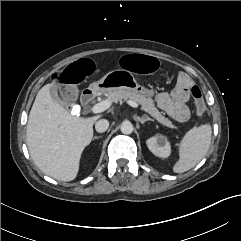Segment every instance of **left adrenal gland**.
<instances>
[{
	"label": "left adrenal gland",
	"instance_id": "left-adrenal-gland-1",
	"mask_svg": "<svg viewBox=\"0 0 241 241\" xmlns=\"http://www.w3.org/2000/svg\"><path fill=\"white\" fill-rule=\"evenodd\" d=\"M137 121H139L141 124H144L146 121H153V119H151L150 117L144 115L141 118L139 116H137Z\"/></svg>",
	"mask_w": 241,
	"mask_h": 241
}]
</instances>
